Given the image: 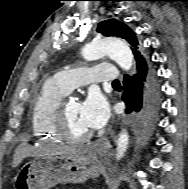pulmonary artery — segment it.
Wrapping results in <instances>:
<instances>
[{
  "instance_id": "1",
  "label": "pulmonary artery",
  "mask_w": 188,
  "mask_h": 189,
  "mask_svg": "<svg viewBox=\"0 0 188 189\" xmlns=\"http://www.w3.org/2000/svg\"><path fill=\"white\" fill-rule=\"evenodd\" d=\"M118 78L119 73L112 64H97L89 68L67 69L54 75V79L67 91L92 82H114Z\"/></svg>"
}]
</instances>
